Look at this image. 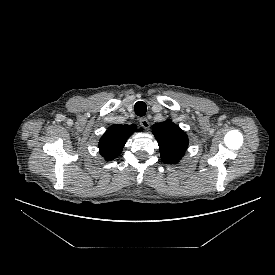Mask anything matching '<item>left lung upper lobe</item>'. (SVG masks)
Listing matches in <instances>:
<instances>
[{
	"label": "left lung upper lobe",
	"mask_w": 275,
	"mask_h": 275,
	"mask_svg": "<svg viewBox=\"0 0 275 275\" xmlns=\"http://www.w3.org/2000/svg\"><path fill=\"white\" fill-rule=\"evenodd\" d=\"M152 128L162 161L169 164L178 163L188 147L186 133L170 120L156 123Z\"/></svg>",
	"instance_id": "5c2ea615"
}]
</instances>
